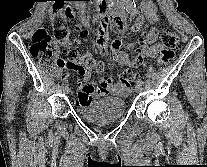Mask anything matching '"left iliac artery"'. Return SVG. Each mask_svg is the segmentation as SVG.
Segmentation results:
<instances>
[{"label": "left iliac artery", "mask_w": 207, "mask_h": 167, "mask_svg": "<svg viewBox=\"0 0 207 167\" xmlns=\"http://www.w3.org/2000/svg\"><path fill=\"white\" fill-rule=\"evenodd\" d=\"M137 83L143 84V80H142L141 78H139V79L137 80Z\"/></svg>", "instance_id": "obj_1"}]
</instances>
